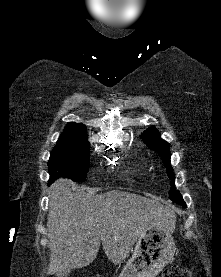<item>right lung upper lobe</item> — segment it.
<instances>
[{
	"label": "right lung upper lobe",
	"instance_id": "1",
	"mask_svg": "<svg viewBox=\"0 0 221 277\" xmlns=\"http://www.w3.org/2000/svg\"><path fill=\"white\" fill-rule=\"evenodd\" d=\"M60 138L66 139H84L87 138L86 126L70 122L66 125Z\"/></svg>",
	"mask_w": 221,
	"mask_h": 277
}]
</instances>
